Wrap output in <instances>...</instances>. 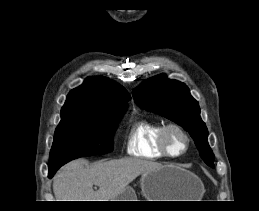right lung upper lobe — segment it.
<instances>
[{
    "label": "right lung upper lobe",
    "instance_id": "cb5924a9",
    "mask_svg": "<svg viewBox=\"0 0 259 211\" xmlns=\"http://www.w3.org/2000/svg\"><path fill=\"white\" fill-rule=\"evenodd\" d=\"M130 95L112 80L88 77L85 82L70 91L61 109V115L84 111L89 113H124Z\"/></svg>",
    "mask_w": 259,
    "mask_h": 211
}]
</instances>
